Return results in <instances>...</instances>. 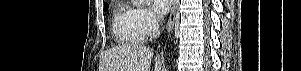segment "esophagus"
I'll return each mask as SVG.
<instances>
[{
  "label": "esophagus",
  "mask_w": 301,
  "mask_h": 71,
  "mask_svg": "<svg viewBox=\"0 0 301 71\" xmlns=\"http://www.w3.org/2000/svg\"><path fill=\"white\" fill-rule=\"evenodd\" d=\"M178 1L179 0H174L173 1V6H172L171 13H170V16H169V20H168V23H167V32H168V34H170L172 32L173 27H174L175 14H176V8H177Z\"/></svg>",
  "instance_id": "34e87169"
}]
</instances>
